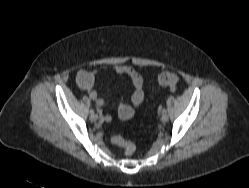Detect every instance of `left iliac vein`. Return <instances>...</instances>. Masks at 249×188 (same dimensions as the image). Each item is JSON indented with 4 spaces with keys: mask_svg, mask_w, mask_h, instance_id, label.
I'll return each instance as SVG.
<instances>
[{
    "mask_svg": "<svg viewBox=\"0 0 249 188\" xmlns=\"http://www.w3.org/2000/svg\"><path fill=\"white\" fill-rule=\"evenodd\" d=\"M161 121L163 123L167 122L168 121V115L167 114H163L162 117H161Z\"/></svg>",
    "mask_w": 249,
    "mask_h": 188,
    "instance_id": "obj_1",
    "label": "left iliac vein"
}]
</instances>
